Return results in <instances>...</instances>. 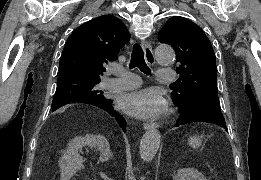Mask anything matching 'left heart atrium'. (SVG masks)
I'll use <instances>...</instances> for the list:
<instances>
[{
    "label": "left heart atrium",
    "mask_w": 261,
    "mask_h": 180,
    "mask_svg": "<svg viewBox=\"0 0 261 180\" xmlns=\"http://www.w3.org/2000/svg\"><path fill=\"white\" fill-rule=\"evenodd\" d=\"M119 104L126 113L147 118L161 114L166 101L158 90L147 88L121 94Z\"/></svg>",
    "instance_id": "39dd6f15"
}]
</instances>
